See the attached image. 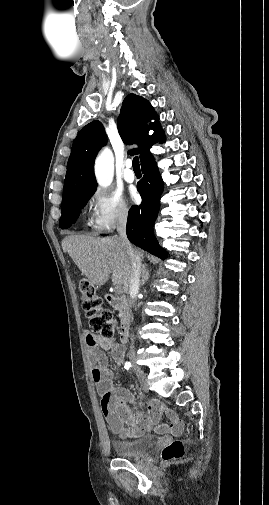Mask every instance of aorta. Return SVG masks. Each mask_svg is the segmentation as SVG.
Wrapping results in <instances>:
<instances>
[{"mask_svg": "<svg viewBox=\"0 0 269 505\" xmlns=\"http://www.w3.org/2000/svg\"><path fill=\"white\" fill-rule=\"evenodd\" d=\"M114 158L109 149H104L95 161V176L102 187L109 186L113 181Z\"/></svg>", "mask_w": 269, "mask_h": 505, "instance_id": "aorta-1", "label": "aorta"}]
</instances>
